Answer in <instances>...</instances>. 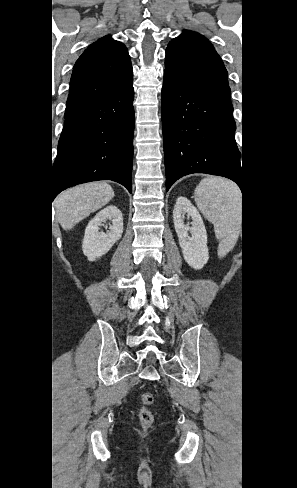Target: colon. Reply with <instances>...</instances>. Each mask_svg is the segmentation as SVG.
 Listing matches in <instances>:
<instances>
[{"instance_id":"colon-1","label":"colon","mask_w":297,"mask_h":488,"mask_svg":"<svg viewBox=\"0 0 297 488\" xmlns=\"http://www.w3.org/2000/svg\"><path fill=\"white\" fill-rule=\"evenodd\" d=\"M141 408L138 413L139 421L142 427H149L154 420V415L150 409L153 404L154 397L151 393L145 392L140 396Z\"/></svg>"}]
</instances>
